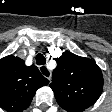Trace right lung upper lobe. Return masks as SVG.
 Here are the masks:
<instances>
[{"label":"right lung upper lobe","mask_w":112,"mask_h":112,"mask_svg":"<svg viewBox=\"0 0 112 112\" xmlns=\"http://www.w3.org/2000/svg\"><path fill=\"white\" fill-rule=\"evenodd\" d=\"M35 65L12 55L0 59V107L7 112H22L28 108L36 91L48 85Z\"/></svg>","instance_id":"obj_1"}]
</instances>
